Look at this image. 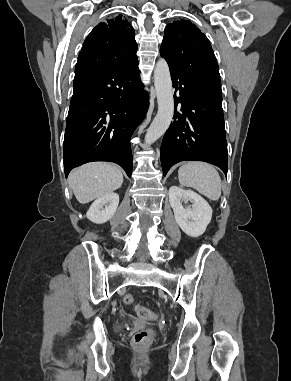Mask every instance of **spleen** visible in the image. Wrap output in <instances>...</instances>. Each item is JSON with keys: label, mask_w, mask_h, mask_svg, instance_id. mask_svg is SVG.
Here are the masks:
<instances>
[{"label": "spleen", "mask_w": 291, "mask_h": 381, "mask_svg": "<svg viewBox=\"0 0 291 381\" xmlns=\"http://www.w3.org/2000/svg\"><path fill=\"white\" fill-rule=\"evenodd\" d=\"M179 182L182 186L191 187L216 201L221 195V179L217 170L210 164L191 161L178 170Z\"/></svg>", "instance_id": "obj_1"}]
</instances>
